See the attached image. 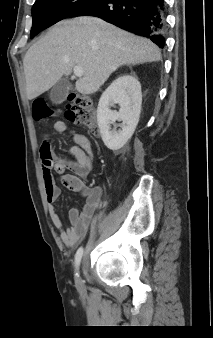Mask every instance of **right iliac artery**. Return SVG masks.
Segmentation results:
<instances>
[{"mask_svg": "<svg viewBox=\"0 0 213 338\" xmlns=\"http://www.w3.org/2000/svg\"><path fill=\"white\" fill-rule=\"evenodd\" d=\"M82 255H83V248L81 247L77 250L76 255H75V266L77 269L80 265Z\"/></svg>", "mask_w": 213, "mask_h": 338, "instance_id": "82829eb1", "label": "right iliac artery"}]
</instances>
